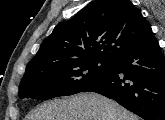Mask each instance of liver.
<instances>
[{"instance_id": "1", "label": "liver", "mask_w": 165, "mask_h": 120, "mask_svg": "<svg viewBox=\"0 0 165 120\" xmlns=\"http://www.w3.org/2000/svg\"><path fill=\"white\" fill-rule=\"evenodd\" d=\"M27 120H138V117L102 95L81 93L42 104Z\"/></svg>"}]
</instances>
